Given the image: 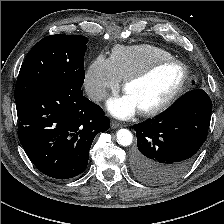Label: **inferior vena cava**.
<instances>
[{"label":"inferior vena cava","mask_w":224,"mask_h":224,"mask_svg":"<svg viewBox=\"0 0 224 224\" xmlns=\"http://www.w3.org/2000/svg\"><path fill=\"white\" fill-rule=\"evenodd\" d=\"M87 95L91 101L98 102L106 97L107 92L103 88H90L87 90Z\"/></svg>","instance_id":"1"}]
</instances>
